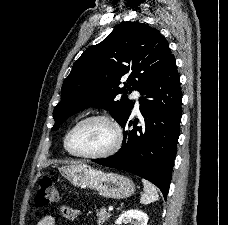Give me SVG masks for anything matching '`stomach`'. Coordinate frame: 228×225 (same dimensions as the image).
Returning a JSON list of instances; mask_svg holds the SVG:
<instances>
[{"mask_svg":"<svg viewBox=\"0 0 228 225\" xmlns=\"http://www.w3.org/2000/svg\"><path fill=\"white\" fill-rule=\"evenodd\" d=\"M66 175L75 187L93 189L107 199H127L135 193V185L128 177L97 171L86 163H74L66 169Z\"/></svg>","mask_w":228,"mask_h":225,"instance_id":"1","label":"stomach"}]
</instances>
